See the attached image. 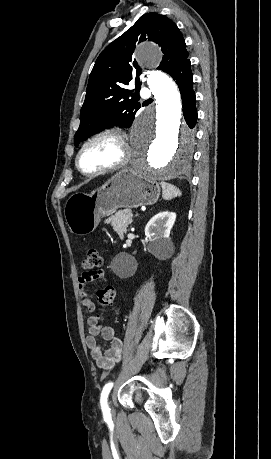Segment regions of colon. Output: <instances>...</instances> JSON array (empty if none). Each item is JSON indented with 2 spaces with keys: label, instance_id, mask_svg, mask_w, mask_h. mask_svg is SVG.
Here are the masks:
<instances>
[{
  "label": "colon",
  "instance_id": "obj_1",
  "mask_svg": "<svg viewBox=\"0 0 271 459\" xmlns=\"http://www.w3.org/2000/svg\"><path fill=\"white\" fill-rule=\"evenodd\" d=\"M102 257L98 250L90 248L86 252V256L82 262V267L86 271H94L101 267ZM114 300V291L111 288L99 290L96 294V301L102 310L110 307Z\"/></svg>",
  "mask_w": 271,
  "mask_h": 459
}]
</instances>
